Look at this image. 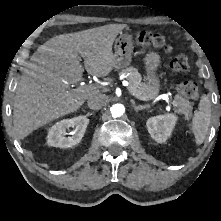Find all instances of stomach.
Returning <instances> with one entry per match:
<instances>
[{
	"instance_id": "1",
	"label": "stomach",
	"mask_w": 221,
	"mask_h": 221,
	"mask_svg": "<svg viewBox=\"0 0 221 221\" xmlns=\"http://www.w3.org/2000/svg\"><path fill=\"white\" fill-rule=\"evenodd\" d=\"M114 67L116 69L126 68L130 65L133 53L132 35L121 32L115 40ZM160 56L154 51H149L145 57L146 79L155 92L160 90V80L156 70L160 65Z\"/></svg>"
}]
</instances>
